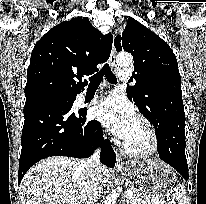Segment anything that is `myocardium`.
Instances as JSON below:
<instances>
[{"mask_svg":"<svg viewBox=\"0 0 206 204\" xmlns=\"http://www.w3.org/2000/svg\"><path fill=\"white\" fill-rule=\"evenodd\" d=\"M137 120L140 121L145 127L149 136V143L147 147L142 150H134L130 148L125 142H123L122 150L125 154L131 157L148 158L155 155L159 150L160 147L159 135L155 126L147 117L143 115H138Z\"/></svg>","mask_w":206,"mask_h":204,"instance_id":"f54148a6","label":"myocardium"}]
</instances>
